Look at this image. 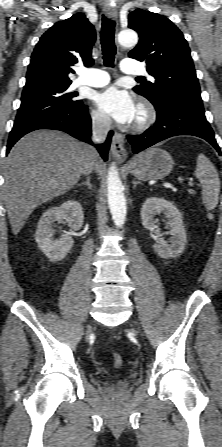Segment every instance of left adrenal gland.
<instances>
[{
	"instance_id": "a2214340",
	"label": "left adrenal gland",
	"mask_w": 222,
	"mask_h": 447,
	"mask_svg": "<svg viewBox=\"0 0 222 447\" xmlns=\"http://www.w3.org/2000/svg\"><path fill=\"white\" fill-rule=\"evenodd\" d=\"M132 183H133V188H135L138 184H142V183L139 182V181H132Z\"/></svg>"
}]
</instances>
